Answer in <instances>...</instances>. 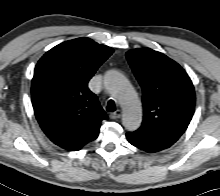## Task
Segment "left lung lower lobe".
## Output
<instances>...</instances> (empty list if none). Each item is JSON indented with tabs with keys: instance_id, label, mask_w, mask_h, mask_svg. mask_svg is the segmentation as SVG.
Segmentation results:
<instances>
[{
	"instance_id": "1",
	"label": "left lung lower lobe",
	"mask_w": 220,
	"mask_h": 196,
	"mask_svg": "<svg viewBox=\"0 0 220 196\" xmlns=\"http://www.w3.org/2000/svg\"><path fill=\"white\" fill-rule=\"evenodd\" d=\"M126 137H127L130 144L134 145L135 147H137L141 150H144V151L150 152V153L161 151L160 149L151 145L145 139H143L142 137H140L139 135H137L133 132H128L126 134Z\"/></svg>"
}]
</instances>
